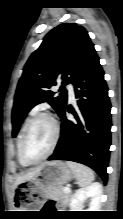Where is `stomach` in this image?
I'll return each instance as SVG.
<instances>
[{
	"mask_svg": "<svg viewBox=\"0 0 123 219\" xmlns=\"http://www.w3.org/2000/svg\"><path fill=\"white\" fill-rule=\"evenodd\" d=\"M74 173L67 163L62 161L46 162L40 172L33 178L22 183L20 204L15 211H36L20 209H37L44 202L47 192L62 187L74 178Z\"/></svg>",
	"mask_w": 123,
	"mask_h": 219,
	"instance_id": "1",
	"label": "stomach"
}]
</instances>
